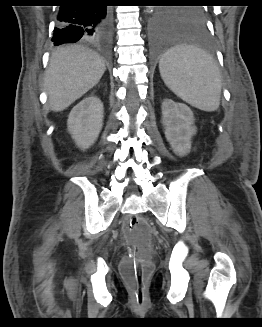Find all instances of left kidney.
Here are the masks:
<instances>
[{"label": "left kidney", "instance_id": "obj_1", "mask_svg": "<svg viewBox=\"0 0 262 327\" xmlns=\"http://www.w3.org/2000/svg\"><path fill=\"white\" fill-rule=\"evenodd\" d=\"M162 115L165 137L173 151L179 156L187 155L191 149V138L196 134L192 110L183 103L165 99L162 103Z\"/></svg>", "mask_w": 262, "mask_h": 327}]
</instances>
